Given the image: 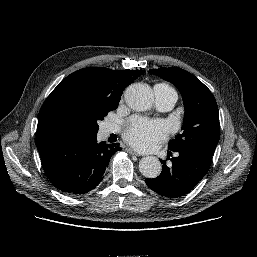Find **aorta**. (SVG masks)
<instances>
[{
	"label": "aorta",
	"mask_w": 257,
	"mask_h": 257,
	"mask_svg": "<svg viewBox=\"0 0 257 257\" xmlns=\"http://www.w3.org/2000/svg\"><path fill=\"white\" fill-rule=\"evenodd\" d=\"M124 98L127 105L135 111L148 110L154 101L152 89L140 83L128 86L124 92ZM139 170L146 178H156L160 175L162 166L157 157L147 156L140 160Z\"/></svg>",
	"instance_id": "obj_1"
}]
</instances>
